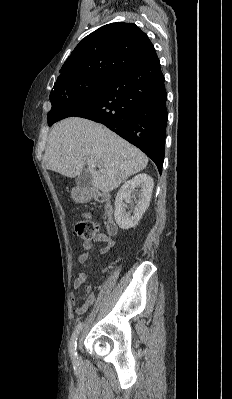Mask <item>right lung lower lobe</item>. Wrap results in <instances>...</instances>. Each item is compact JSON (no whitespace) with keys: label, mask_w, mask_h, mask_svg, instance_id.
<instances>
[{"label":"right lung lower lobe","mask_w":232,"mask_h":399,"mask_svg":"<svg viewBox=\"0 0 232 399\" xmlns=\"http://www.w3.org/2000/svg\"><path fill=\"white\" fill-rule=\"evenodd\" d=\"M164 76L156 53L116 73L92 97L68 105L55 122L76 116L102 123L150 157L164 161L168 112Z\"/></svg>","instance_id":"obj_1"}]
</instances>
